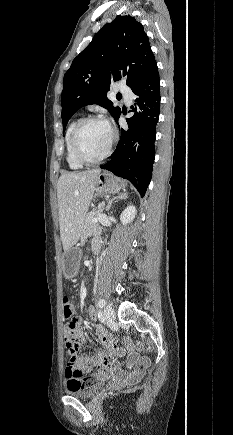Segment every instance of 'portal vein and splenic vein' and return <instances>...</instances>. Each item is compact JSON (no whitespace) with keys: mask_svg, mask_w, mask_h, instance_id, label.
Wrapping results in <instances>:
<instances>
[{"mask_svg":"<svg viewBox=\"0 0 233 435\" xmlns=\"http://www.w3.org/2000/svg\"><path fill=\"white\" fill-rule=\"evenodd\" d=\"M100 217H101V218L104 217L103 213H101ZM98 219H99L98 217H95V218H93L90 222H91V223H96V222L98 221Z\"/></svg>","mask_w":233,"mask_h":435,"instance_id":"portal-vein-and-splenic-vein-1","label":"portal vein and splenic vein"}]
</instances>
